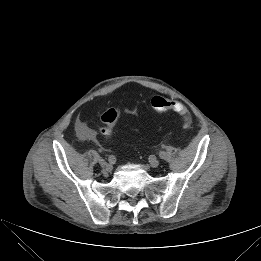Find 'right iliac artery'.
Instances as JSON below:
<instances>
[{
	"label": "right iliac artery",
	"mask_w": 261,
	"mask_h": 261,
	"mask_svg": "<svg viewBox=\"0 0 261 261\" xmlns=\"http://www.w3.org/2000/svg\"><path fill=\"white\" fill-rule=\"evenodd\" d=\"M108 161H109L110 164H115L116 157L114 155H109Z\"/></svg>",
	"instance_id": "right-iliac-artery-1"
}]
</instances>
